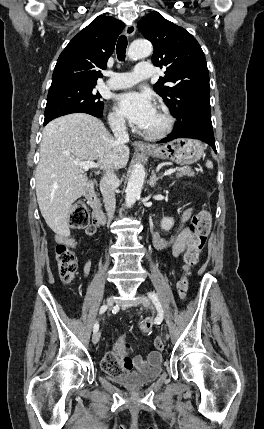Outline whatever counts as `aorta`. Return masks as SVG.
Here are the masks:
<instances>
[{"label": "aorta", "instance_id": "1", "mask_svg": "<svg viewBox=\"0 0 264 429\" xmlns=\"http://www.w3.org/2000/svg\"><path fill=\"white\" fill-rule=\"evenodd\" d=\"M152 45L146 40H135L128 50V57L131 60H138L148 57L152 53ZM145 179V170L142 164H136L132 170L126 188V206L131 207L140 197Z\"/></svg>", "mask_w": 264, "mask_h": 429}]
</instances>
